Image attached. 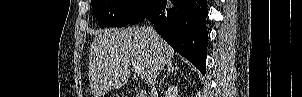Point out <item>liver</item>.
Masks as SVG:
<instances>
[{
    "instance_id": "obj_1",
    "label": "liver",
    "mask_w": 302,
    "mask_h": 97,
    "mask_svg": "<svg viewBox=\"0 0 302 97\" xmlns=\"http://www.w3.org/2000/svg\"><path fill=\"white\" fill-rule=\"evenodd\" d=\"M173 48L160 36L158 42L150 36L148 27L106 29L93 40L89 55V80L94 97L122 87L130 75V64L138 62L150 84L155 69L171 63Z\"/></svg>"
}]
</instances>
